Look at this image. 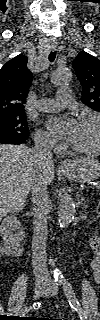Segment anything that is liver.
Instances as JSON below:
<instances>
[{
    "instance_id": "6515ba94",
    "label": "liver",
    "mask_w": 100,
    "mask_h": 320,
    "mask_svg": "<svg viewBox=\"0 0 100 320\" xmlns=\"http://www.w3.org/2000/svg\"><path fill=\"white\" fill-rule=\"evenodd\" d=\"M42 175L47 184L54 179V163L39 160L25 145H0L1 214L23 209L34 179Z\"/></svg>"
}]
</instances>
